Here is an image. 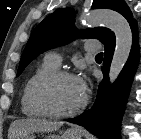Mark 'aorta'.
Instances as JSON below:
<instances>
[{"label":"aorta","instance_id":"1","mask_svg":"<svg viewBox=\"0 0 141 139\" xmlns=\"http://www.w3.org/2000/svg\"><path fill=\"white\" fill-rule=\"evenodd\" d=\"M87 26L104 25L115 34L116 46L109 70V82L113 84L130 55L132 31L128 21L119 13L109 10H97L82 16Z\"/></svg>","mask_w":141,"mask_h":139}]
</instances>
